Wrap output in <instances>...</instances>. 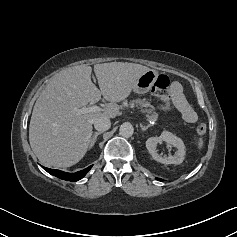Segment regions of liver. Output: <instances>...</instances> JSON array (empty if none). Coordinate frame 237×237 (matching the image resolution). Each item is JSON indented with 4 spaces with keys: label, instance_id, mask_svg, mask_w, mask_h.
<instances>
[{
    "label": "liver",
    "instance_id": "obj_1",
    "mask_svg": "<svg viewBox=\"0 0 237 237\" xmlns=\"http://www.w3.org/2000/svg\"><path fill=\"white\" fill-rule=\"evenodd\" d=\"M148 67L127 62L96 64L100 90L92 83V68L79 65L55 75L38 97L29 125L30 146L46 166L70 167L90 145L92 124L98 117L114 118L117 102L126 99ZM110 103L100 112L76 115L75 110L101 99Z\"/></svg>",
    "mask_w": 237,
    "mask_h": 237
}]
</instances>
